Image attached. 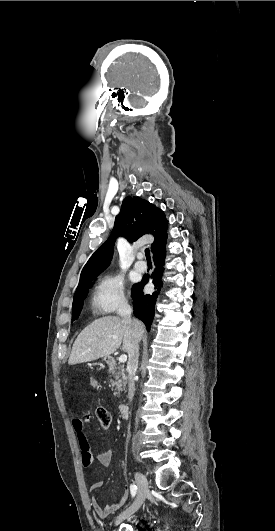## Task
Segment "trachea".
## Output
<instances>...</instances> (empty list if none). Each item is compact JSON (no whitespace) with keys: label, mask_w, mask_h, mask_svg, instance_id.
Segmentation results:
<instances>
[{"label":"trachea","mask_w":275,"mask_h":531,"mask_svg":"<svg viewBox=\"0 0 275 531\" xmlns=\"http://www.w3.org/2000/svg\"><path fill=\"white\" fill-rule=\"evenodd\" d=\"M145 255H146V259H147L148 261H150L151 258H150V252H149V249H148V248L145 249Z\"/></svg>","instance_id":"trachea-1"}]
</instances>
